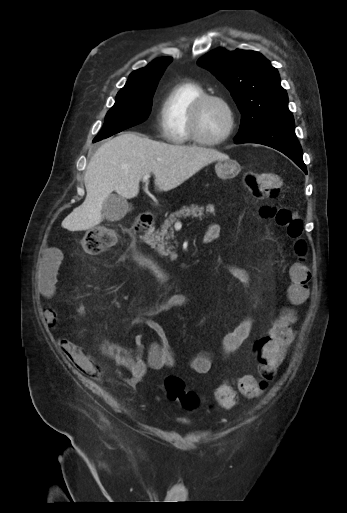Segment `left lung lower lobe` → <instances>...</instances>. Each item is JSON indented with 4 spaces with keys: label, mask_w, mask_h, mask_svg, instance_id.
I'll return each mask as SVG.
<instances>
[{
    "label": "left lung lower lobe",
    "mask_w": 347,
    "mask_h": 513,
    "mask_svg": "<svg viewBox=\"0 0 347 513\" xmlns=\"http://www.w3.org/2000/svg\"><path fill=\"white\" fill-rule=\"evenodd\" d=\"M240 143H257L272 147L293 160L305 173L306 166L303 162L301 146L295 134L294 123L274 124L235 141Z\"/></svg>",
    "instance_id": "1"
}]
</instances>
